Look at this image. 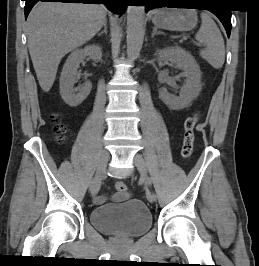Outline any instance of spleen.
Returning a JSON list of instances; mask_svg holds the SVG:
<instances>
[{
    "label": "spleen",
    "mask_w": 259,
    "mask_h": 266,
    "mask_svg": "<svg viewBox=\"0 0 259 266\" xmlns=\"http://www.w3.org/2000/svg\"><path fill=\"white\" fill-rule=\"evenodd\" d=\"M202 24L195 39L206 46L200 51V56L213 68L220 69L225 61V45L219 28L206 12L201 13Z\"/></svg>",
    "instance_id": "1"
}]
</instances>
